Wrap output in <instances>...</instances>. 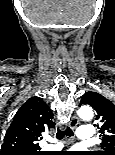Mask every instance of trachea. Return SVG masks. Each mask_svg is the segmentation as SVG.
Returning a JSON list of instances; mask_svg holds the SVG:
<instances>
[{
    "instance_id": "obj_1",
    "label": "trachea",
    "mask_w": 115,
    "mask_h": 155,
    "mask_svg": "<svg viewBox=\"0 0 115 155\" xmlns=\"http://www.w3.org/2000/svg\"><path fill=\"white\" fill-rule=\"evenodd\" d=\"M65 135L71 137L74 135V133L69 127H67L65 130H61L58 128L56 138L58 140H61Z\"/></svg>"
}]
</instances>
